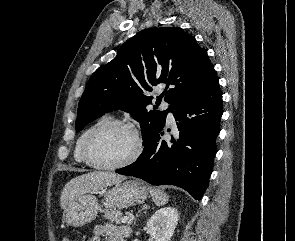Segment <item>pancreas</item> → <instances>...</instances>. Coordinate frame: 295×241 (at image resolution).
<instances>
[{"label": "pancreas", "instance_id": "pancreas-1", "mask_svg": "<svg viewBox=\"0 0 295 241\" xmlns=\"http://www.w3.org/2000/svg\"><path fill=\"white\" fill-rule=\"evenodd\" d=\"M104 218L115 224H121L122 212L116 209H104Z\"/></svg>", "mask_w": 295, "mask_h": 241}]
</instances>
